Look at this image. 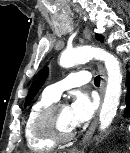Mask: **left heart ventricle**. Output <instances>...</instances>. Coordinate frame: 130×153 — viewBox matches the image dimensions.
<instances>
[{"label":"left heart ventricle","instance_id":"obj_1","mask_svg":"<svg viewBox=\"0 0 130 153\" xmlns=\"http://www.w3.org/2000/svg\"><path fill=\"white\" fill-rule=\"evenodd\" d=\"M57 121L60 129L63 131H69L74 128L71 123L70 111L68 106L64 105L59 109L57 114Z\"/></svg>","mask_w":130,"mask_h":153}]
</instances>
